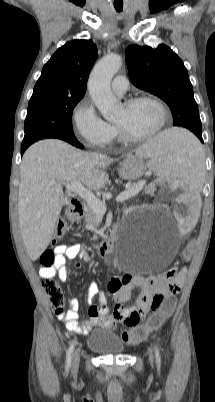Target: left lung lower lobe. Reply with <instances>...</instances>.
Wrapping results in <instances>:
<instances>
[{"label":"left lung lower lobe","mask_w":215,"mask_h":402,"mask_svg":"<svg viewBox=\"0 0 215 402\" xmlns=\"http://www.w3.org/2000/svg\"><path fill=\"white\" fill-rule=\"evenodd\" d=\"M198 138L201 140V142H203L202 136H199Z\"/></svg>","instance_id":"0a47b994"}]
</instances>
